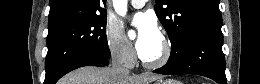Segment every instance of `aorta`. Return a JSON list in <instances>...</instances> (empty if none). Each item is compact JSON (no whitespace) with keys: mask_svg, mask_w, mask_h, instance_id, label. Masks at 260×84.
Wrapping results in <instances>:
<instances>
[{"mask_svg":"<svg viewBox=\"0 0 260 84\" xmlns=\"http://www.w3.org/2000/svg\"><path fill=\"white\" fill-rule=\"evenodd\" d=\"M113 6L117 14H119L120 16H125L127 12V0H113ZM129 36L134 37L135 33L133 31H130Z\"/></svg>","mask_w":260,"mask_h":84,"instance_id":"obj_1","label":"aorta"}]
</instances>
